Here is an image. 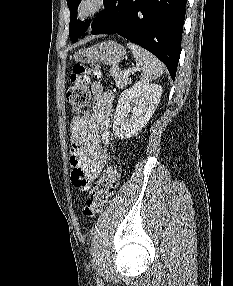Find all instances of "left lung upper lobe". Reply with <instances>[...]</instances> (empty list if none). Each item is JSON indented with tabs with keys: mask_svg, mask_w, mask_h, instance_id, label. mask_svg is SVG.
<instances>
[{
	"mask_svg": "<svg viewBox=\"0 0 233 286\" xmlns=\"http://www.w3.org/2000/svg\"><path fill=\"white\" fill-rule=\"evenodd\" d=\"M81 0H67V5L70 10V24H69V36L72 42L77 41L90 26L91 21L81 22L76 20V11ZM106 0H104L105 2Z\"/></svg>",
	"mask_w": 233,
	"mask_h": 286,
	"instance_id": "obj_1",
	"label": "left lung upper lobe"
}]
</instances>
